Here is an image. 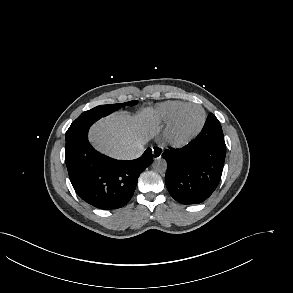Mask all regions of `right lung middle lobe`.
<instances>
[{
	"mask_svg": "<svg viewBox=\"0 0 293 293\" xmlns=\"http://www.w3.org/2000/svg\"><path fill=\"white\" fill-rule=\"evenodd\" d=\"M138 101H130L120 104H109V105H100L91 110L85 111L82 113L69 127L66 133L71 132L77 128H80L85 125H92L100 118L109 115L110 113L120 109V106H133L136 105Z\"/></svg>",
	"mask_w": 293,
	"mask_h": 293,
	"instance_id": "dd1d6c3e",
	"label": "right lung middle lobe"
}]
</instances>
